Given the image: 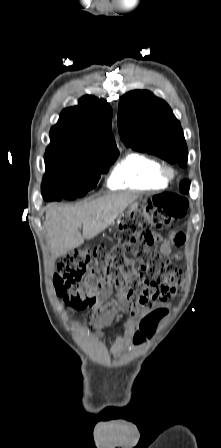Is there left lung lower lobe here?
<instances>
[{"mask_svg": "<svg viewBox=\"0 0 221 448\" xmlns=\"http://www.w3.org/2000/svg\"><path fill=\"white\" fill-rule=\"evenodd\" d=\"M189 185H190L189 181L187 180L182 181L180 184V191L186 194L189 191Z\"/></svg>", "mask_w": 221, "mask_h": 448, "instance_id": "left-lung-lower-lobe-1", "label": "left lung lower lobe"}]
</instances>
